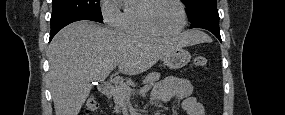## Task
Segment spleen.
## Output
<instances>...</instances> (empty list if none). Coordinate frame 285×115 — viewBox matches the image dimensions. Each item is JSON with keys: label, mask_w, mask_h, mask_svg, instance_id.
Wrapping results in <instances>:
<instances>
[{"label": "spleen", "mask_w": 285, "mask_h": 115, "mask_svg": "<svg viewBox=\"0 0 285 115\" xmlns=\"http://www.w3.org/2000/svg\"><path fill=\"white\" fill-rule=\"evenodd\" d=\"M199 35H200V40L202 41H207L209 39L208 36L202 32H199Z\"/></svg>", "instance_id": "3e777b00"}]
</instances>
